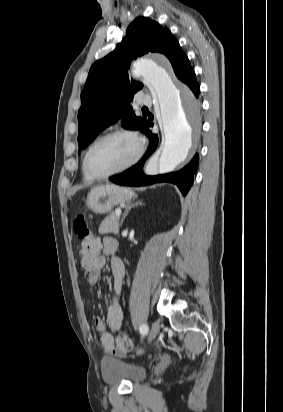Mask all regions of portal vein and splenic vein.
<instances>
[{
    "instance_id": "18ae733b",
    "label": "portal vein and splenic vein",
    "mask_w": 283,
    "mask_h": 412,
    "mask_svg": "<svg viewBox=\"0 0 283 412\" xmlns=\"http://www.w3.org/2000/svg\"><path fill=\"white\" fill-rule=\"evenodd\" d=\"M115 213H116V215L120 216L121 215V210L117 209V210H115Z\"/></svg>"
}]
</instances>
